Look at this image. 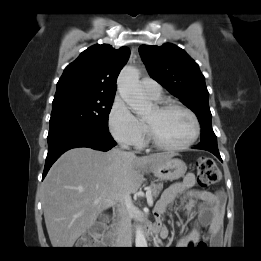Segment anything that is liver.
I'll use <instances>...</instances> for the list:
<instances>
[{
    "mask_svg": "<svg viewBox=\"0 0 261 261\" xmlns=\"http://www.w3.org/2000/svg\"><path fill=\"white\" fill-rule=\"evenodd\" d=\"M172 156L136 157L119 149L99 152L84 147L65 152L42 184L44 219L52 246L73 247L103 211L138 191L144 172Z\"/></svg>",
    "mask_w": 261,
    "mask_h": 261,
    "instance_id": "obj_1",
    "label": "liver"
}]
</instances>
